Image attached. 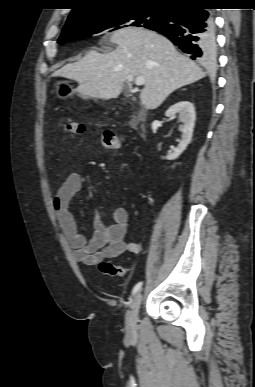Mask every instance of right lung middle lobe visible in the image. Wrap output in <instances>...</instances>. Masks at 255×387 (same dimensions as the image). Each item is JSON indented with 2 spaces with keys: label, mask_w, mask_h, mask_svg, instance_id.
<instances>
[{
  "label": "right lung middle lobe",
  "mask_w": 255,
  "mask_h": 387,
  "mask_svg": "<svg viewBox=\"0 0 255 387\" xmlns=\"http://www.w3.org/2000/svg\"><path fill=\"white\" fill-rule=\"evenodd\" d=\"M167 10L165 7L121 6L95 12L77 21L66 23L58 43L65 44L103 31L128 26L148 29L157 27L165 21Z\"/></svg>",
  "instance_id": "obj_1"
}]
</instances>
